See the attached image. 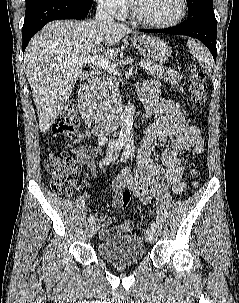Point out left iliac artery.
Wrapping results in <instances>:
<instances>
[{
	"mask_svg": "<svg viewBox=\"0 0 239 303\" xmlns=\"http://www.w3.org/2000/svg\"><path fill=\"white\" fill-rule=\"evenodd\" d=\"M130 152H131V144H130V142H127L125 144V149L123 152V159H122L123 162L127 161V159L129 158ZM151 229L156 230V224L154 222L151 223Z\"/></svg>",
	"mask_w": 239,
	"mask_h": 303,
	"instance_id": "44dca946",
	"label": "left iliac artery"
}]
</instances>
